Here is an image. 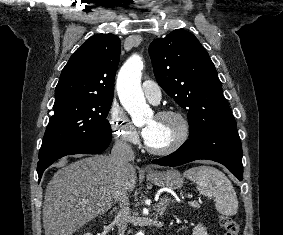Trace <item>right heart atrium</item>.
<instances>
[{"instance_id": "d8ad5b80", "label": "right heart atrium", "mask_w": 283, "mask_h": 235, "mask_svg": "<svg viewBox=\"0 0 283 235\" xmlns=\"http://www.w3.org/2000/svg\"><path fill=\"white\" fill-rule=\"evenodd\" d=\"M108 118L113 135L118 141L130 145L138 141L136 127L120 106L113 104L109 110Z\"/></svg>"}]
</instances>
